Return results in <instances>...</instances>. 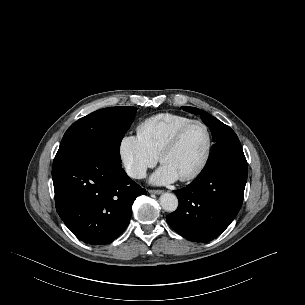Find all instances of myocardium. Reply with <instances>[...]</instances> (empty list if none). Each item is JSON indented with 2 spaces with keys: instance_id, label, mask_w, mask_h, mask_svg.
<instances>
[{
  "instance_id": "1",
  "label": "myocardium",
  "mask_w": 305,
  "mask_h": 305,
  "mask_svg": "<svg viewBox=\"0 0 305 305\" xmlns=\"http://www.w3.org/2000/svg\"><path fill=\"white\" fill-rule=\"evenodd\" d=\"M195 124L202 126L206 132V138H207L206 147H205V151H204L203 157H202L199 165L190 173L179 178V180L182 182L190 181V180H193L196 177H198L204 171V169L208 163V160H209L210 154H211V150H212V142H213L212 133H211L209 126L205 122H203L201 120H197V119H192V120L186 122L185 124L180 126L174 132V134L170 137V139L163 145V147L161 148L159 155H158L159 161L163 164V158L165 157V155L168 154L170 151H172L178 145L184 132L190 126L195 125Z\"/></svg>"
}]
</instances>
